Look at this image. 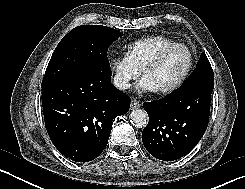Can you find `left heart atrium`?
Segmentation results:
<instances>
[{
  "label": "left heart atrium",
  "mask_w": 245,
  "mask_h": 189,
  "mask_svg": "<svg viewBox=\"0 0 245 189\" xmlns=\"http://www.w3.org/2000/svg\"><path fill=\"white\" fill-rule=\"evenodd\" d=\"M137 88L141 93L154 92L153 87L143 77L137 84Z\"/></svg>",
  "instance_id": "1"
}]
</instances>
